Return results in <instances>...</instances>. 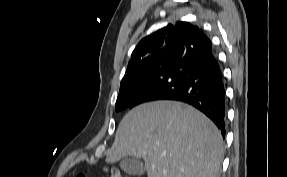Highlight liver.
I'll return each instance as SVG.
<instances>
[{
  "label": "liver",
  "instance_id": "obj_1",
  "mask_svg": "<svg viewBox=\"0 0 287 177\" xmlns=\"http://www.w3.org/2000/svg\"><path fill=\"white\" fill-rule=\"evenodd\" d=\"M143 158L148 177H218L220 131L195 108L175 101L144 103L119 124L106 162Z\"/></svg>",
  "mask_w": 287,
  "mask_h": 177
}]
</instances>
